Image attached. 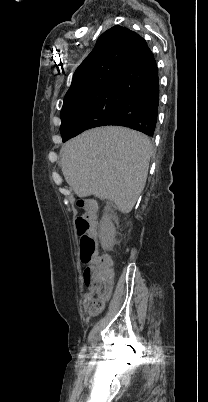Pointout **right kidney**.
Instances as JSON below:
<instances>
[{
	"mask_svg": "<svg viewBox=\"0 0 208 402\" xmlns=\"http://www.w3.org/2000/svg\"><path fill=\"white\" fill-rule=\"evenodd\" d=\"M114 222L118 224L117 218H113V216H108V214H104L100 222L99 232V240L101 242L102 248H108L109 244H112V242H114L115 240L116 228L114 226Z\"/></svg>",
	"mask_w": 208,
	"mask_h": 402,
	"instance_id": "obj_1",
	"label": "right kidney"
}]
</instances>
